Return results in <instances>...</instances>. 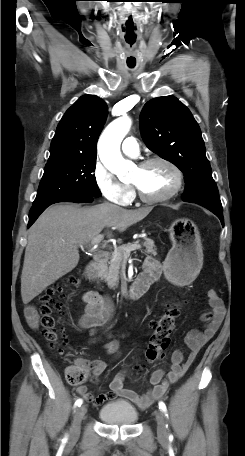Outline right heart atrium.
<instances>
[{
	"label": "right heart atrium",
	"instance_id": "obj_1",
	"mask_svg": "<svg viewBox=\"0 0 245 456\" xmlns=\"http://www.w3.org/2000/svg\"><path fill=\"white\" fill-rule=\"evenodd\" d=\"M92 176L96 187L108 201L123 206L130 203L132 187L119 181L99 160L94 164Z\"/></svg>",
	"mask_w": 245,
	"mask_h": 456
}]
</instances>
